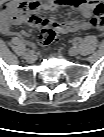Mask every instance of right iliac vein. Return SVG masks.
Here are the masks:
<instances>
[{
	"mask_svg": "<svg viewBox=\"0 0 104 137\" xmlns=\"http://www.w3.org/2000/svg\"><path fill=\"white\" fill-rule=\"evenodd\" d=\"M24 57L26 60H28L30 62L34 61V59H35V56L32 52L25 53Z\"/></svg>",
	"mask_w": 104,
	"mask_h": 137,
	"instance_id": "1",
	"label": "right iliac vein"
}]
</instances>
